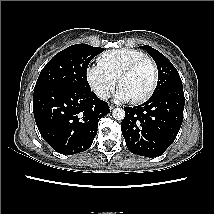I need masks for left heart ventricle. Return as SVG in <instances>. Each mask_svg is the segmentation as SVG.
<instances>
[{"mask_svg":"<svg viewBox=\"0 0 214 214\" xmlns=\"http://www.w3.org/2000/svg\"><path fill=\"white\" fill-rule=\"evenodd\" d=\"M152 81V71L148 64L138 67L133 73L124 77L120 82L123 89L131 99H136L143 95Z\"/></svg>","mask_w":214,"mask_h":214,"instance_id":"obj_1","label":"left heart ventricle"}]
</instances>
